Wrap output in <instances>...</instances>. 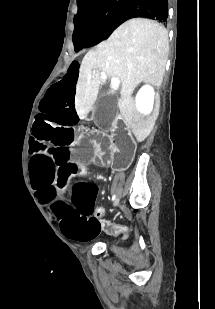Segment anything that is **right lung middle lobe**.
Returning <instances> with one entry per match:
<instances>
[{"label":"right lung middle lobe","mask_w":215,"mask_h":309,"mask_svg":"<svg viewBox=\"0 0 215 309\" xmlns=\"http://www.w3.org/2000/svg\"><path fill=\"white\" fill-rule=\"evenodd\" d=\"M132 0H78L73 43L75 51L106 39Z\"/></svg>","instance_id":"1"}]
</instances>
